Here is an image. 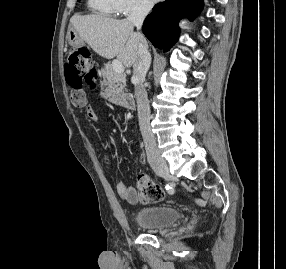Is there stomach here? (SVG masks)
I'll list each match as a JSON object with an SVG mask.
<instances>
[{
    "label": "stomach",
    "mask_w": 286,
    "mask_h": 269,
    "mask_svg": "<svg viewBox=\"0 0 286 269\" xmlns=\"http://www.w3.org/2000/svg\"><path fill=\"white\" fill-rule=\"evenodd\" d=\"M67 41L72 46H79L83 43L82 37L75 29H69L67 33Z\"/></svg>",
    "instance_id": "stomach-1"
}]
</instances>
